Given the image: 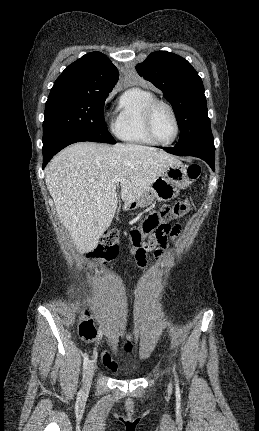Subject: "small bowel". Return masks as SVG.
<instances>
[{
  "mask_svg": "<svg viewBox=\"0 0 259 431\" xmlns=\"http://www.w3.org/2000/svg\"><path fill=\"white\" fill-rule=\"evenodd\" d=\"M146 268H144V267H140V268H138V269H135V272H138V273H142V274H144V273H146ZM135 272H132V275H135ZM126 338L129 340V339H131L132 338V336L130 335V334H127L126 335ZM103 362H104V364H105V366H107L109 369H111V370H116V368H117V364H116V362L112 359V356L109 354V353H105L104 355H103Z\"/></svg>",
  "mask_w": 259,
  "mask_h": 431,
  "instance_id": "obj_1",
  "label": "small bowel"
}]
</instances>
